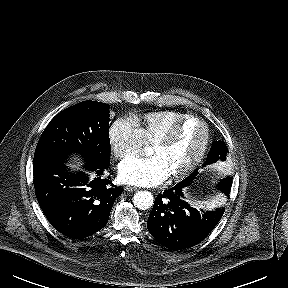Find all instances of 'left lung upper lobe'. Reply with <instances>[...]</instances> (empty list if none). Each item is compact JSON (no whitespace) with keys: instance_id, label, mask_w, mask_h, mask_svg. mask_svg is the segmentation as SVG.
<instances>
[{"instance_id":"1","label":"left lung upper lobe","mask_w":288,"mask_h":288,"mask_svg":"<svg viewBox=\"0 0 288 288\" xmlns=\"http://www.w3.org/2000/svg\"><path fill=\"white\" fill-rule=\"evenodd\" d=\"M227 153H228V148L223 141L213 142L211 150L205 162V165H209L211 163L217 162L218 160H225ZM196 174L197 172H194L193 174H191L190 176H188L181 182L190 184V182L195 178ZM231 185H232V177H226L222 179L218 187L221 191L230 192Z\"/></svg>"}]
</instances>
